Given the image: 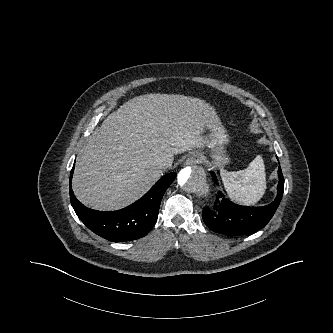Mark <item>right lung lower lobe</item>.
<instances>
[{
  "instance_id": "right-lung-lower-lobe-1",
  "label": "right lung lower lobe",
  "mask_w": 333,
  "mask_h": 333,
  "mask_svg": "<svg viewBox=\"0 0 333 333\" xmlns=\"http://www.w3.org/2000/svg\"><path fill=\"white\" fill-rule=\"evenodd\" d=\"M74 165L70 174L72 179ZM176 177V173L163 176L142 198L118 211L101 212L86 208L73 194L72 207L80 220L97 235L112 242L136 240L145 236L158 218L161 199Z\"/></svg>"
}]
</instances>
